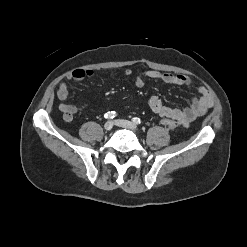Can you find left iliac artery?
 I'll list each match as a JSON object with an SVG mask.
<instances>
[{"label": "left iliac artery", "instance_id": "1", "mask_svg": "<svg viewBox=\"0 0 247 247\" xmlns=\"http://www.w3.org/2000/svg\"><path fill=\"white\" fill-rule=\"evenodd\" d=\"M132 121H133L135 124H141L140 118L134 117V118H132Z\"/></svg>", "mask_w": 247, "mask_h": 247}]
</instances>
